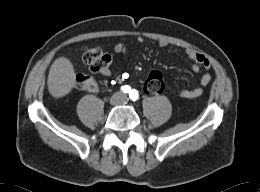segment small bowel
<instances>
[{
    "label": "small bowel",
    "instance_id": "1",
    "mask_svg": "<svg viewBox=\"0 0 260 192\" xmlns=\"http://www.w3.org/2000/svg\"><path fill=\"white\" fill-rule=\"evenodd\" d=\"M139 41H142V39H139ZM166 45L167 44L165 42H161V46H166ZM113 50L115 53H119V54H126L128 51L127 46L124 43L115 44ZM186 56L192 62L191 69L193 72L198 73L201 71V69H205V70L211 69V63L204 55L194 50H187ZM101 74L104 76H109L110 70L108 68L104 69L101 71ZM211 80H212V75L210 73H205L195 87L191 89L181 90L179 91L178 95L181 98H185V99L197 98L203 94L205 87L209 85Z\"/></svg>",
    "mask_w": 260,
    "mask_h": 192
}]
</instances>
